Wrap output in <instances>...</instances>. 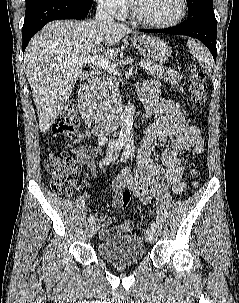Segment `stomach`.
I'll return each mask as SVG.
<instances>
[{"mask_svg":"<svg viewBox=\"0 0 239 303\" xmlns=\"http://www.w3.org/2000/svg\"><path fill=\"white\" fill-rule=\"evenodd\" d=\"M133 45L144 55L148 56L159 64L168 61L172 52L168 43L158 37H135L133 39Z\"/></svg>","mask_w":239,"mask_h":303,"instance_id":"1","label":"stomach"}]
</instances>
